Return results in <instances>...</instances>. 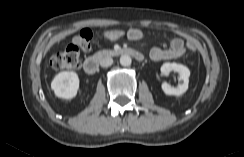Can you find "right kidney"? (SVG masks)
<instances>
[{
  "label": "right kidney",
  "instance_id": "ca27d5eb",
  "mask_svg": "<svg viewBox=\"0 0 244 157\" xmlns=\"http://www.w3.org/2000/svg\"><path fill=\"white\" fill-rule=\"evenodd\" d=\"M51 88L56 97L71 100L76 97L79 89L77 73L63 71L58 73L51 82Z\"/></svg>",
  "mask_w": 244,
  "mask_h": 157
}]
</instances>
